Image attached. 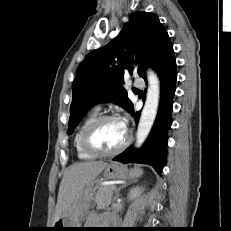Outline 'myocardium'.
<instances>
[{"label": "myocardium", "mask_w": 231, "mask_h": 231, "mask_svg": "<svg viewBox=\"0 0 231 231\" xmlns=\"http://www.w3.org/2000/svg\"><path fill=\"white\" fill-rule=\"evenodd\" d=\"M106 121H119V119L114 115H100L97 116L84 130L82 135V145L85 151L96 156V157H110L115 156L121 153L125 148L129 145L131 141V135L128 131H126V137L123 143L114 150L111 151H101L96 148L92 143V135L94 131L100 126L102 123Z\"/></svg>", "instance_id": "1"}]
</instances>
